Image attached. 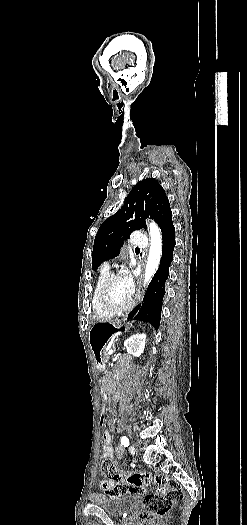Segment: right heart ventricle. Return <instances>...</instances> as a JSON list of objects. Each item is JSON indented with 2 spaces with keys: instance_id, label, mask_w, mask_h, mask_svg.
<instances>
[{
  "instance_id": "e07e8e85",
  "label": "right heart ventricle",
  "mask_w": 247,
  "mask_h": 525,
  "mask_svg": "<svg viewBox=\"0 0 247 525\" xmlns=\"http://www.w3.org/2000/svg\"><path fill=\"white\" fill-rule=\"evenodd\" d=\"M108 275H109V270L107 268V265L104 264L99 274V277L97 279L96 287L91 295L92 311H93L94 317H112L110 313H107L101 308L100 298L97 295V287Z\"/></svg>"
}]
</instances>
